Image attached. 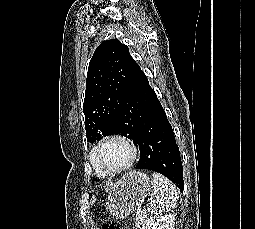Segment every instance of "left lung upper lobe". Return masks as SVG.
I'll use <instances>...</instances> for the list:
<instances>
[{
  "instance_id": "left-lung-upper-lobe-1",
  "label": "left lung upper lobe",
  "mask_w": 255,
  "mask_h": 229,
  "mask_svg": "<svg viewBox=\"0 0 255 229\" xmlns=\"http://www.w3.org/2000/svg\"><path fill=\"white\" fill-rule=\"evenodd\" d=\"M138 68L128 47L117 39L106 40L95 50L89 63L83 103L90 143L111 134L125 135L135 141L118 116Z\"/></svg>"
}]
</instances>
